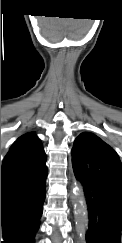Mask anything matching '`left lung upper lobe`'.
Instances as JSON below:
<instances>
[{"label":"left lung upper lobe","mask_w":122,"mask_h":243,"mask_svg":"<svg viewBox=\"0 0 122 243\" xmlns=\"http://www.w3.org/2000/svg\"><path fill=\"white\" fill-rule=\"evenodd\" d=\"M110 147L98 136L84 132L80 134L74 142L72 153V165L76 164L77 160L83 156H92L99 154L104 148Z\"/></svg>","instance_id":"1"}]
</instances>
